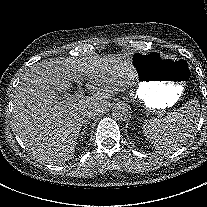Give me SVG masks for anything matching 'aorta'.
Segmentation results:
<instances>
[{"mask_svg": "<svg viewBox=\"0 0 207 207\" xmlns=\"http://www.w3.org/2000/svg\"><path fill=\"white\" fill-rule=\"evenodd\" d=\"M130 115L125 103L116 104L112 109V116L117 121H126Z\"/></svg>", "mask_w": 207, "mask_h": 207, "instance_id": "aorta-1", "label": "aorta"}]
</instances>
